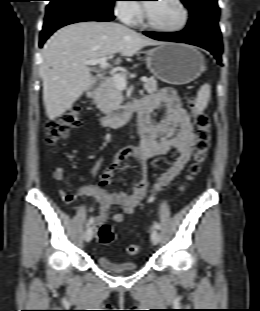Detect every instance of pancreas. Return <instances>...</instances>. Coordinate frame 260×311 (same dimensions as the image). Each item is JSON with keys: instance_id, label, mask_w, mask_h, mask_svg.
Wrapping results in <instances>:
<instances>
[{"instance_id": "obj_1", "label": "pancreas", "mask_w": 260, "mask_h": 311, "mask_svg": "<svg viewBox=\"0 0 260 311\" xmlns=\"http://www.w3.org/2000/svg\"><path fill=\"white\" fill-rule=\"evenodd\" d=\"M119 75L124 79L127 78L125 73H120ZM144 89L150 94L155 93L158 89L157 81L154 78H149L144 84ZM122 101L121 89L116 86L112 78H107L96 98L97 108L104 114H110L120 108Z\"/></svg>"}]
</instances>
